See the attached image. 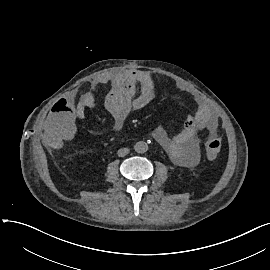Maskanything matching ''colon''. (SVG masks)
Wrapping results in <instances>:
<instances>
[{"label":"colon","mask_w":270,"mask_h":270,"mask_svg":"<svg viewBox=\"0 0 270 270\" xmlns=\"http://www.w3.org/2000/svg\"><path fill=\"white\" fill-rule=\"evenodd\" d=\"M205 151L210 157L216 156L221 150V140L218 137H209L204 142Z\"/></svg>","instance_id":"obj_1"}]
</instances>
